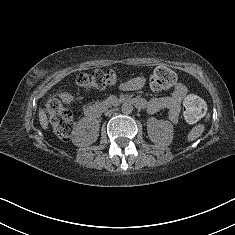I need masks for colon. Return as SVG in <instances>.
<instances>
[{
	"instance_id": "obj_1",
	"label": "colon",
	"mask_w": 235,
	"mask_h": 235,
	"mask_svg": "<svg viewBox=\"0 0 235 235\" xmlns=\"http://www.w3.org/2000/svg\"><path fill=\"white\" fill-rule=\"evenodd\" d=\"M118 75L112 70H94L91 73H81L77 76L78 86L86 91L103 90L114 85ZM176 82V74L167 67H157L150 75V86L154 92H160L172 87ZM46 109L50 115L55 134L62 140H69L74 129V118L56 97L47 101ZM205 113L203 100L193 94L188 95L183 103V114L187 121L197 122Z\"/></svg>"
}]
</instances>
